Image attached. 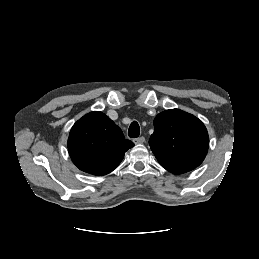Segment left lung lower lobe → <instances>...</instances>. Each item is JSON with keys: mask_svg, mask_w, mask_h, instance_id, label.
I'll list each match as a JSON object with an SVG mask.
<instances>
[{"mask_svg": "<svg viewBox=\"0 0 259 259\" xmlns=\"http://www.w3.org/2000/svg\"><path fill=\"white\" fill-rule=\"evenodd\" d=\"M166 170H168L171 173L174 174H182L188 171L193 170L194 168L189 167H182V166H168V165H162Z\"/></svg>", "mask_w": 259, "mask_h": 259, "instance_id": "1", "label": "left lung lower lobe"}]
</instances>
